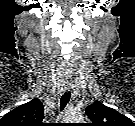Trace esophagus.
Returning <instances> with one entry per match:
<instances>
[{"label":"esophagus","instance_id":"obj_1","mask_svg":"<svg viewBox=\"0 0 135 126\" xmlns=\"http://www.w3.org/2000/svg\"><path fill=\"white\" fill-rule=\"evenodd\" d=\"M71 89H72V85H71V84H68V85L66 86V90L70 91Z\"/></svg>","mask_w":135,"mask_h":126}]
</instances>
